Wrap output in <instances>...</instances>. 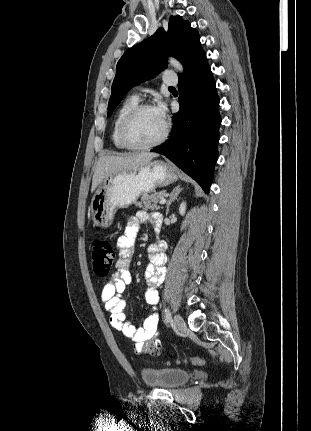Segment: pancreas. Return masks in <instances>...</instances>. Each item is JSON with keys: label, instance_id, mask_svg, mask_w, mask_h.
Segmentation results:
<instances>
[{"label": "pancreas", "instance_id": "obj_1", "mask_svg": "<svg viewBox=\"0 0 311 431\" xmlns=\"http://www.w3.org/2000/svg\"><path fill=\"white\" fill-rule=\"evenodd\" d=\"M166 192H154V194H150V196H142L140 198V202H136L135 206L137 208H142L144 212H148V210H158L159 206H157L159 202V198H162Z\"/></svg>", "mask_w": 311, "mask_h": 431}]
</instances>
